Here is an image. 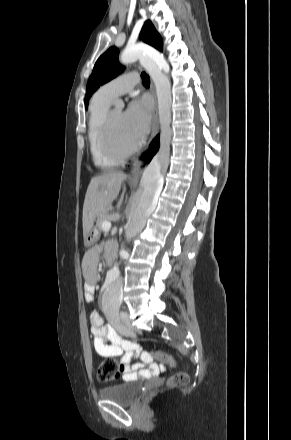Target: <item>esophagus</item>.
Wrapping results in <instances>:
<instances>
[{"label":"esophagus","instance_id":"34e87169","mask_svg":"<svg viewBox=\"0 0 291 440\" xmlns=\"http://www.w3.org/2000/svg\"><path fill=\"white\" fill-rule=\"evenodd\" d=\"M151 92L154 98V109H153V122H152V133H151V139H153V137L156 135L157 133V127H158V103H157V97H156V92H155V88L154 85L152 83L151 85ZM143 162L141 159H137L134 163V167L130 172L129 175V179L131 184L136 185L138 180H139V176L141 174V168H142Z\"/></svg>","mask_w":291,"mask_h":440}]
</instances>
